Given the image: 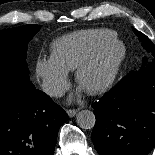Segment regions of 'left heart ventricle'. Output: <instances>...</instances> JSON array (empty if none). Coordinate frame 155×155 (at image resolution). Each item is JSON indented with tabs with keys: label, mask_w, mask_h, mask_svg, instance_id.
<instances>
[{
	"label": "left heart ventricle",
	"mask_w": 155,
	"mask_h": 155,
	"mask_svg": "<svg viewBox=\"0 0 155 155\" xmlns=\"http://www.w3.org/2000/svg\"><path fill=\"white\" fill-rule=\"evenodd\" d=\"M118 53V46L108 48L99 61L84 74L82 87L93 88L103 83L108 78Z\"/></svg>",
	"instance_id": "1"
}]
</instances>
